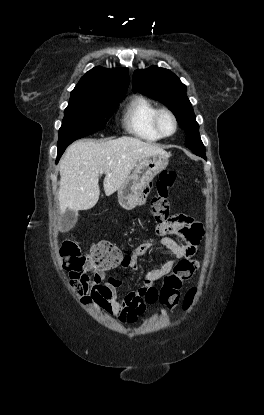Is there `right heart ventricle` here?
Returning <instances> with one entry per match:
<instances>
[{
  "label": "right heart ventricle",
  "instance_id": "e07e8e85",
  "mask_svg": "<svg viewBox=\"0 0 264 415\" xmlns=\"http://www.w3.org/2000/svg\"><path fill=\"white\" fill-rule=\"evenodd\" d=\"M157 106L143 96L133 97L123 111V125L129 134L147 141L155 142L161 139L152 125V117Z\"/></svg>",
  "mask_w": 264,
  "mask_h": 415
}]
</instances>
